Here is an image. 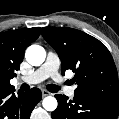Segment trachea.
<instances>
[{"instance_id":"1","label":"trachea","mask_w":119,"mask_h":119,"mask_svg":"<svg viewBox=\"0 0 119 119\" xmlns=\"http://www.w3.org/2000/svg\"><path fill=\"white\" fill-rule=\"evenodd\" d=\"M29 88L30 87L27 84H22V86H21V89L23 91H28ZM47 89H48V91H50L52 93H56V92H58L60 90V87L57 86V85H54V84H49V85H47Z\"/></svg>"}]
</instances>
